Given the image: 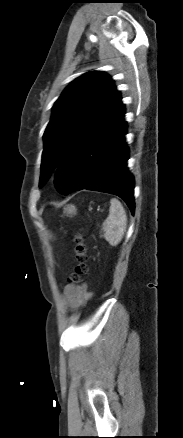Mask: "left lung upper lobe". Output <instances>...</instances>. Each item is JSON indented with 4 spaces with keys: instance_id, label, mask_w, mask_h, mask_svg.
Segmentation results:
<instances>
[{
    "instance_id": "1",
    "label": "left lung upper lobe",
    "mask_w": 183,
    "mask_h": 438,
    "mask_svg": "<svg viewBox=\"0 0 183 438\" xmlns=\"http://www.w3.org/2000/svg\"><path fill=\"white\" fill-rule=\"evenodd\" d=\"M123 104L111 77L103 72L75 79L53 106L44 133L40 186L55 175L63 159Z\"/></svg>"
}]
</instances>
